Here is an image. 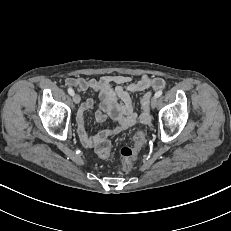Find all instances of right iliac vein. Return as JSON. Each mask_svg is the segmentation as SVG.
<instances>
[{
	"instance_id": "63e3f726",
	"label": "right iliac vein",
	"mask_w": 231,
	"mask_h": 231,
	"mask_svg": "<svg viewBox=\"0 0 231 231\" xmlns=\"http://www.w3.org/2000/svg\"><path fill=\"white\" fill-rule=\"evenodd\" d=\"M73 101H74L76 104H79L80 101H81L80 96L77 95V94L73 95Z\"/></svg>"
}]
</instances>
